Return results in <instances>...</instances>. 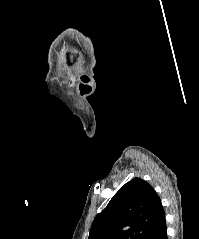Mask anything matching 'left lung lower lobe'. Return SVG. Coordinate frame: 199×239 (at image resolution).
Returning a JSON list of instances; mask_svg holds the SVG:
<instances>
[{
    "label": "left lung lower lobe",
    "instance_id": "obj_1",
    "mask_svg": "<svg viewBox=\"0 0 199 239\" xmlns=\"http://www.w3.org/2000/svg\"><path fill=\"white\" fill-rule=\"evenodd\" d=\"M148 239H168L164 211L160 214V216L156 220Z\"/></svg>",
    "mask_w": 199,
    "mask_h": 239
}]
</instances>
